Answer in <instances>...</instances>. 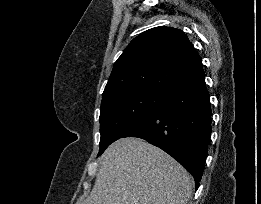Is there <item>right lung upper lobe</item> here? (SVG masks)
Segmentation results:
<instances>
[{
  "instance_id": "obj_1",
  "label": "right lung upper lobe",
  "mask_w": 261,
  "mask_h": 204,
  "mask_svg": "<svg viewBox=\"0 0 261 204\" xmlns=\"http://www.w3.org/2000/svg\"><path fill=\"white\" fill-rule=\"evenodd\" d=\"M200 69L201 58L183 31L155 27L134 38L117 59L102 97L125 90L167 92Z\"/></svg>"
}]
</instances>
